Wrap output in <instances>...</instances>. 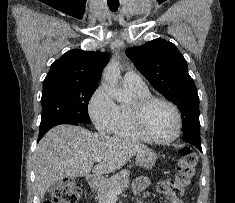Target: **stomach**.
I'll use <instances>...</instances> for the list:
<instances>
[{"mask_svg": "<svg viewBox=\"0 0 235 203\" xmlns=\"http://www.w3.org/2000/svg\"><path fill=\"white\" fill-rule=\"evenodd\" d=\"M157 158V154L149 148L136 153V161L138 165L146 169H151L155 165ZM95 181L96 184L102 185L106 180L104 178L96 177Z\"/></svg>", "mask_w": 235, "mask_h": 203, "instance_id": "0dacf381", "label": "stomach"}]
</instances>
